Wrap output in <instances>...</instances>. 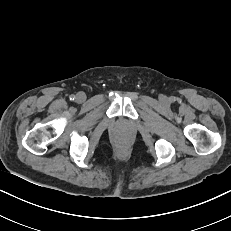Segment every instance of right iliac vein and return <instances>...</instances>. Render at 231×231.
<instances>
[{
	"label": "right iliac vein",
	"instance_id": "right-iliac-vein-1",
	"mask_svg": "<svg viewBox=\"0 0 231 231\" xmlns=\"http://www.w3.org/2000/svg\"><path fill=\"white\" fill-rule=\"evenodd\" d=\"M76 101L81 103L84 102L86 99V95L83 92H79L76 97H75Z\"/></svg>",
	"mask_w": 231,
	"mask_h": 231
}]
</instances>
